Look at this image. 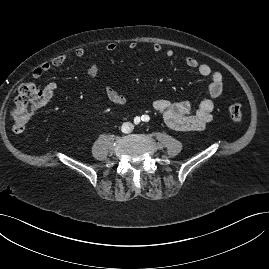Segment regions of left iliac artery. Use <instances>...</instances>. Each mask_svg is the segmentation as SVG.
Segmentation results:
<instances>
[{
  "label": "left iliac artery",
  "mask_w": 269,
  "mask_h": 269,
  "mask_svg": "<svg viewBox=\"0 0 269 269\" xmlns=\"http://www.w3.org/2000/svg\"><path fill=\"white\" fill-rule=\"evenodd\" d=\"M149 119L150 118L147 115L142 116V120L145 121V122L149 121Z\"/></svg>",
  "instance_id": "obj_1"
}]
</instances>
